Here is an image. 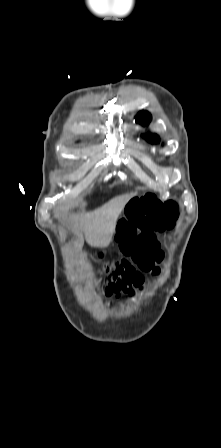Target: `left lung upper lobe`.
<instances>
[{"label":"left lung upper lobe","instance_id":"left-lung-upper-lobe-1","mask_svg":"<svg viewBox=\"0 0 221 448\" xmlns=\"http://www.w3.org/2000/svg\"><path fill=\"white\" fill-rule=\"evenodd\" d=\"M136 118H137V121L139 123H141L142 125H147L151 120V115L146 111H142L137 115ZM146 139L151 143L159 141V137L157 135L146 136Z\"/></svg>","mask_w":221,"mask_h":448}]
</instances>
